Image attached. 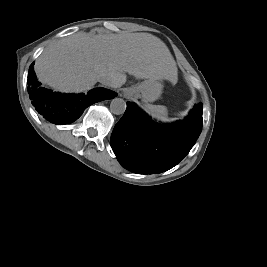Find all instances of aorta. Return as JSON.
<instances>
[{"mask_svg":"<svg viewBox=\"0 0 267 267\" xmlns=\"http://www.w3.org/2000/svg\"><path fill=\"white\" fill-rule=\"evenodd\" d=\"M126 107V102L122 98H114L110 103V111L115 115L123 114Z\"/></svg>","mask_w":267,"mask_h":267,"instance_id":"obj_1","label":"aorta"}]
</instances>
